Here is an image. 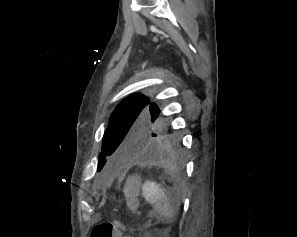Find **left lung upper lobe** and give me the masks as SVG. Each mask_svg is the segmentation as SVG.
<instances>
[{
    "label": "left lung upper lobe",
    "mask_w": 297,
    "mask_h": 237,
    "mask_svg": "<svg viewBox=\"0 0 297 237\" xmlns=\"http://www.w3.org/2000/svg\"><path fill=\"white\" fill-rule=\"evenodd\" d=\"M158 113L156 104H150L144 95L132 94L124 99L104 133L98 171L108 158L120 161L148 155L154 141L165 130L159 121L155 122Z\"/></svg>",
    "instance_id": "left-lung-upper-lobe-1"
}]
</instances>
